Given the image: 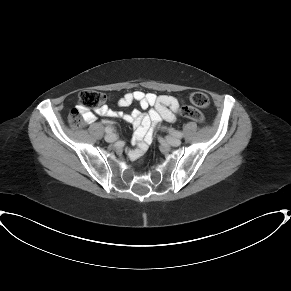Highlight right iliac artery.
Segmentation results:
<instances>
[{
  "label": "right iliac artery",
  "mask_w": 291,
  "mask_h": 291,
  "mask_svg": "<svg viewBox=\"0 0 291 291\" xmlns=\"http://www.w3.org/2000/svg\"><path fill=\"white\" fill-rule=\"evenodd\" d=\"M105 132H106V133H111V132H112V129L109 128V127H106V128H105Z\"/></svg>",
  "instance_id": "obj_1"
}]
</instances>
